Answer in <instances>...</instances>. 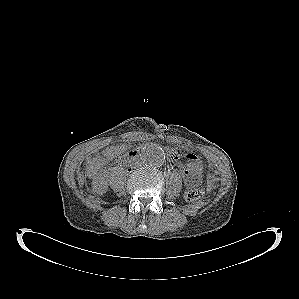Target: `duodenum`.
I'll return each mask as SVG.
<instances>
[{"label":"duodenum","mask_w":299,"mask_h":299,"mask_svg":"<svg viewBox=\"0 0 299 299\" xmlns=\"http://www.w3.org/2000/svg\"><path fill=\"white\" fill-rule=\"evenodd\" d=\"M138 150H132L128 153L127 157L125 158L126 163H130L132 161H134L135 159H137L138 157Z\"/></svg>","instance_id":"obj_1"}]
</instances>
